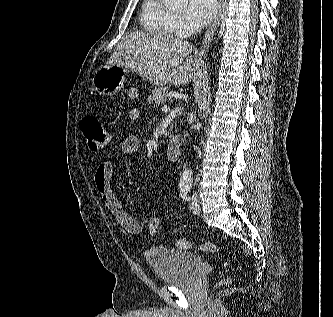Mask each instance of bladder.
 <instances>
[{"label": "bladder", "mask_w": 333, "mask_h": 317, "mask_svg": "<svg viewBox=\"0 0 333 317\" xmlns=\"http://www.w3.org/2000/svg\"><path fill=\"white\" fill-rule=\"evenodd\" d=\"M145 258L156 278L168 285L191 284L203 267L199 255L162 246L148 249Z\"/></svg>", "instance_id": "31cf9c89"}]
</instances>
